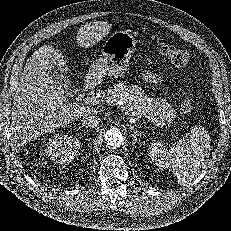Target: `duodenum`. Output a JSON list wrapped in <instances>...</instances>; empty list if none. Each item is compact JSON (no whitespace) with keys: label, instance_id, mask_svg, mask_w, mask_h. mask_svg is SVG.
<instances>
[{"label":"duodenum","instance_id":"obj_1","mask_svg":"<svg viewBox=\"0 0 231 231\" xmlns=\"http://www.w3.org/2000/svg\"><path fill=\"white\" fill-rule=\"evenodd\" d=\"M96 85V79L94 77H89L83 84V90L89 91L92 90Z\"/></svg>","mask_w":231,"mask_h":231}]
</instances>
